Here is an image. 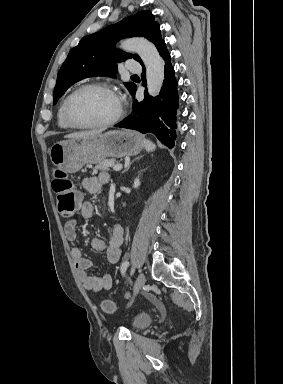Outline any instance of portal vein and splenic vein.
<instances>
[{
    "instance_id": "18ae733b",
    "label": "portal vein and splenic vein",
    "mask_w": 283,
    "mask_h": 384,
    "mask_svg": "<svg viewBox=\"0 0 283 384\" xmlns=\"http://www.w3.org/2000/svg\"><path fill=\"white\" fill-rule=\"evenodd\" d=\"M115 172H119V170H122V164H117L114 168Z\"/></svg>"
}]
</instances>
